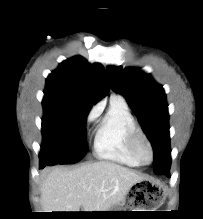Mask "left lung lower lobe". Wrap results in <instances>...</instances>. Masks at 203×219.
<instances>
[{
	"instance_id": "1",
	"label": "left lung lower lobe",
	"mask_w": 203,
	"mask_h": 219,
	"mask_svg": "<svg viewBox=\"0 0 203 219\" xmlns=\"http://www.w3.org/2000/svg\"><path fill=\"white\" fill-rule=\"evenodd\" d=\"M168 172H169V167L161 169V173H159V174H165V175L169 176Z\"/></svg>"
}]
</instances>
